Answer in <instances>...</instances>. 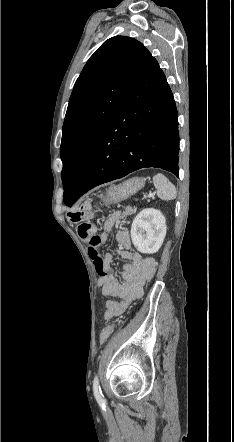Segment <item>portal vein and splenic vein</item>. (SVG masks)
Wrapping results in <instances>:
<instances>
[{"label":"portal vein and splenic vein","instance_id":"obj_1","mask_svg":"<svg viewBox=\"0 0 234 442\" xmlns=\"http://www.w3.org/2000/svg\"><path fill=\"white\" fill-rule=\"evenodd\" d=\"M154 195H155V192H149V194L147 195V196H145L144 198L146 199V198H152V197H154Z\"/></svg>","mask_w":234,"mask_h":442}]
</instances>
